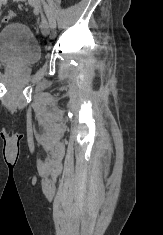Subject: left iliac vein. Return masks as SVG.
I'll return each mask as SVG.
<instances>
[{
  "instance_id": "left-iliac-vein-1",
  "label": "left iliac vein",
  "mask_w": 163,
  "mask_h": 235,
  "mask_svg": "<svg viewBox=\"0 0 163 235\" xmlns=\"http://www.w3.org/2000/svg\"><path fill=\"white\" fill-rule=\"evenodd\" d=\"M28 2L39 11H42V5H41L40 0H28ZM40 27H41L42 34L44 36H48L50 33V25H49L47 18L44 15H42Z\"/></svg>"
}]
</instances>
